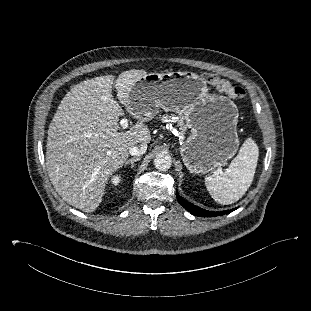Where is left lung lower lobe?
Here are the masks:
<instances>
[{
    "label": "left lung lower lobe",
    "instance_id": "obj_1",
    "mask_svg": "<svg viewBox=\"0 0 311 311\" xmlns=\"http://www.w3.org/2000/svg\"><path fill=\"white\" fill-rule=\"evenodd\" d=\"M177 195V200L178 202L186 209L188 210L191 214L195 215V216H199V217H216V216H221L224 215L226 213H230L231 211H234L235 209L232 210H226V211H221V212H211V211H207L204 209H201L195 205H193L192 203H189L187 201H185L184 199H182L178 192L176 193Z\"/></svg>",
    "mask_w": 311,
    "mask_h": 311
}]
</instances>
